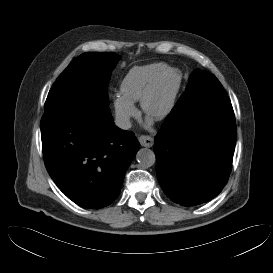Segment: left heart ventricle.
Here are the masks:
<instances>
[{
	"label": "left heart ventricle",
	"mask_w": 273,
	"mask_h": 273,
	"mask_svg": "<svg viewBox=\"0 0 273 273\" xmlns=\"http://www.w3.org/2000/svg\"><path fill=\"white\" fill-rule=\"evenodd\" d=\"M176 77L173 74L165 76L148 103L150 113L155 116L160 113L170 101Z\"/></svg>",
	"instance_id": "obj_1"
}]
</instances>
